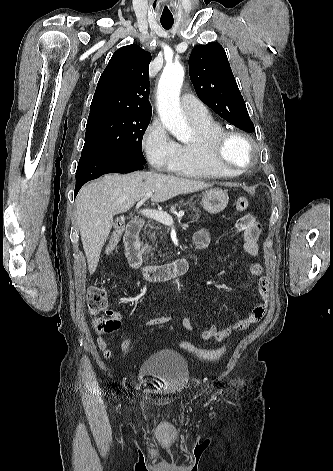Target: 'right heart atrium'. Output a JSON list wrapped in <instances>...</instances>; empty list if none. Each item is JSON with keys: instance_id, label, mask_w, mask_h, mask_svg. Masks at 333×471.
<instances>
[{"instance_id": "obj_1", "label": "right heart atrium", "mask_w": 333, "mask_h": 471, "mask_svg": "<svg viewBox=\"0 0 333 471\" xmlns=\"http://www.w3.org/2000/svg\"><path fill=\"white\" fill-rule=\"evenodd\" d=\"M142 147L155 169L170 170L177 156L178 143L160 121L154 120L148 126L142 138Z\"/></svg>"}]
</instances>
